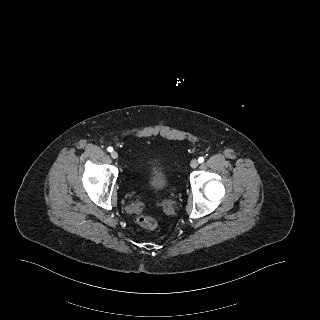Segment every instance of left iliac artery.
<instances>
[{
	"label": "left iliac artery",
	"mask_w": 320,
	"mask_h": 320,
	"mask_svg": "<svg viewBox=\"0 0 320 320\" xmlns=\"http://www.w3.org/2000/svg\"><path fill=\"white\" fill-rule=\"evenodd\" d=\"M204 161V158L203 157H200L199 159H198V162L199 163H202Z\"/></svg>",
	"instance_id": "obj_1"
}]
</instances>
